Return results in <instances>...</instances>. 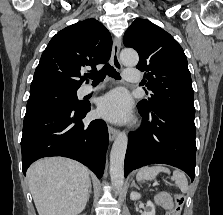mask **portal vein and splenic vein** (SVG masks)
<instances>
[{"label":"portal vein and splenic vein","instance_id":"portal-vein-and-splenic-vein-1","mask_svg":"<svg viewBox=\"0 0 223 215\" xmlns=\"http://www.w3.org/2000/svg\"><path fill=\"white\" fill-rule=\"evenodd\" d=\"M153 183H154V184H157V183H158V180H157V179H154V180H153Z\"/></svg>","mask_w":223,"mask_h":215}]
</instances>
